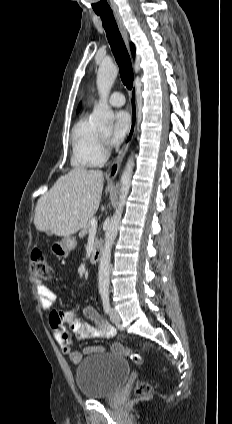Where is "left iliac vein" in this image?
<instances>
[{"label":"left iliac vein","instance_id":"left-iliac-vein-1","mask_svg":"<svg viewBox=\"0 0 232 424\" xmlns=\"http://www.w3.org/2000/svg\"><path fill=\"white\" fill-rule=\"evenodd\" d=\"M110 319L116 325H118L120 323V321H121L120 316H119V313L114 308H111L110 309Z\"/></svg>","mask_w":232,"mask_h":424}]
</instances>
